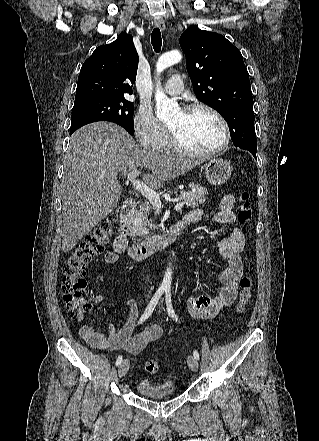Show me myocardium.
<instances>
[{"label":"myocardium","mask_w":319,"mask_h":441,"mask_svg":"<svg viewBox=\"0 0 319 441\" xmlns=\"http://www.w3.org/2000/svg\"><path fill=\"white\" fill-rule=\"evenodd\" d=\"M198 110H204V111L212 114L218 120V122L220 123L222 130H223V140H222L221 144L219 146H217L216 148L208 150V151H203V152L194 151V150H191V149L185 147L181 143V141L179 140L177 135L170 128H168L169 136H170V143H171L173 150L175 152H177L178 154L189 156V157H196V158L212 157V156L217 155L220 152H222L228 146V144L230 142V138H231L230 128H229V125H228L226 119L223 117V115L219 111H217L215 108H213L207 104L192 103V104H189L186 107H184L183 112L192 113V112H195Z\"/></svg>","instance_id":"obj_1"}]
</instances>
